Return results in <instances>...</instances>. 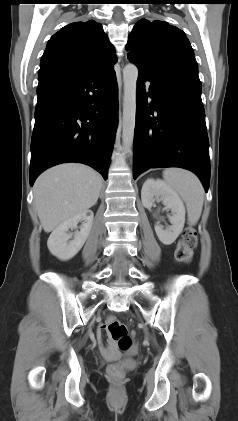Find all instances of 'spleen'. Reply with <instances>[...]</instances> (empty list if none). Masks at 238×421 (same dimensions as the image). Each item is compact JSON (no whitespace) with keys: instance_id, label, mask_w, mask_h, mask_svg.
<instances>
[{"instance_id":"obj_1","label":"spleen","mask_w":238,"mask_h":421,"mask_svg":"<svg viewBox=\"0 0 238 421\" xmlns=\"http://www.w3.org/2000/svg\"><path fill=\"white\" fill-rule=\"evenodd\" d=\"M163 178L167 186L174 190L185 202L188 221L195 225L202 213L204 190L195 174L181 168H166Z\"/></svg>"}]
</instances>
